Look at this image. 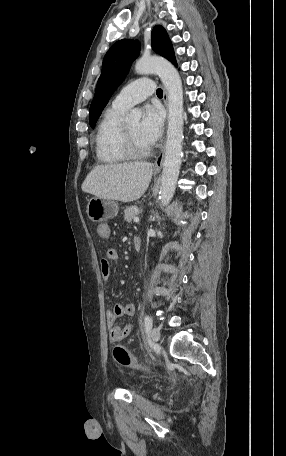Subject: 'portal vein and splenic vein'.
Returning <instances> with one entry per match:
<instances>
[{
	"mask_svg": "<svg viewBox=\"0 0 286 456\" xmlns=\"http://www.w3.org/2000/svg\"><path fill=\"white\" fill-rule=\"evenodd\" d=\"M134 222L138 223V222H139V218H138V217H135V218H134Z\"/></svg>",
	"mask_w": 286,
	"mask_h": 456,
	"instance_id": "obj_1",
	"label": "portal vein and splenic vein"
}]
</instances>
